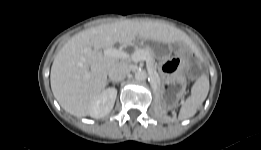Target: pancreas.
I'll use <instances>...</instances> for the list:
<instances>
[{"label": "pancreas", "mask_w": 261, "mask_h": 150, "mask_svg": "<svg viewBox=\"0 0 261 150\" xmlns=\"http://www.w3.org/2000/svg\"><path fill=\"white\" fill-rule=\"evenodd\" d=\"M143 50H145L147 52L148 56H149V60L147 61V63L149 64V66H150V68L152 70V76L154 78H156L158 81H160V79L158 77V73H157V70L159 69V66L155 62V59L153 58L151 49L149 47H146Z\"/></svg>", "instance_id": "pancreas-1"}]
</instances>
